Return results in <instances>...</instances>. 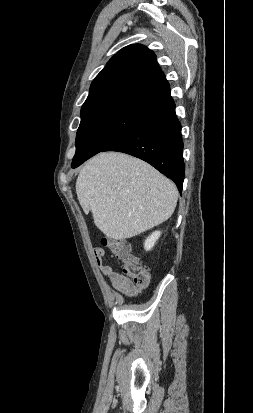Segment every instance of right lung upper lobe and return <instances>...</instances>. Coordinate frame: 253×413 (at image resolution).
Segmentation results:
<instances>
[{
	"label": "right lung upper lobe",
	"mask_w": 253,
	"mask_h": 413,
	"mask_svg": "<svg viewBox=\"0 0 253 413\" xmlns=\"http://www.w3.org/2000/svg\"><path fill=\"white\" fill-rule=\"evenodd\" d=\"M173 102L155 54L134 44L115 54L93 80L81 119L118 111L150 116Z\"/></svg>",
	"instance_id": "obj_1"
}]
</instances>
